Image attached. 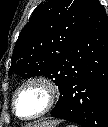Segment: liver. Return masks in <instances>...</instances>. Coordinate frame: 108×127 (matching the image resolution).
Wrapping results in <instances>:
<instances>
[{"mask_svg":"<svg viewBox=\"0 0 108 127\" xmlns=\"http://www.w3.org/2000/svg\"><path fill=\"white\" fill-rule=\"evenodd\" d=\"M56 123H57V121H45V122L38 123V124H35V125L41 124V125H43V126H47V125H49V124H56Z\"/></svg>","mask_w":108,"mask_h":127,"instance_id":"1","label":"liver"}]
</instances>
